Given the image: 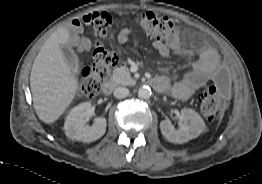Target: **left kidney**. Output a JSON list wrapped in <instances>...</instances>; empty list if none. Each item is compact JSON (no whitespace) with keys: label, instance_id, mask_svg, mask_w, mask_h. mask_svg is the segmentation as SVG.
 <instances>
[{"label":"left kidney","instance_id":"1","mask_svg":"<svg viewBox=\"0 0 262 184\" xmlns=\"http://www.w3.org/2000/svg\"><path fill=\"white\" fill-rule=\"evenodd\" d=\"M182 123L179 129H175L171 121L160 122V130L163 136L172 143H184L198 137L206 126L201 116L190 108L181 110Z\"/></svg>","mask_w":262,"mask_h":184}]
</instances>
